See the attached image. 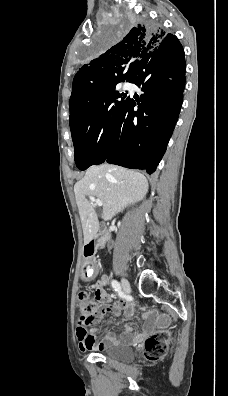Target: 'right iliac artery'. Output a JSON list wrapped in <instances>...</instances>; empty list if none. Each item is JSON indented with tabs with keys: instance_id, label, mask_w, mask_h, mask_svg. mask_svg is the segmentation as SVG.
<instances>
[{
	"instance_id": "obj_1",
	"label": "right iliac artery",
	"mask_w": 228,
	"mask_h": 396,
	"mask_svg": "<svg viewBox=\"0 0 228 396\" xmlns=\"http://www.w3.org/2000/svg\"><path fill=\"white\" fill-rule=\"evenodd\" d=\"M111 284L116 292H121V286L118 281L112 280Z\"/></svg>"
}]
</instances>
